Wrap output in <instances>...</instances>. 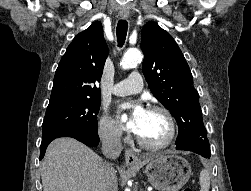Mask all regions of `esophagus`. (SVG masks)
Wrapping results in <instances>:
<instances>
[{"instance_id":"34e87169","label":"esophagus","mask_w":251,"mask_h":191,"mask_svg":"<svg viewBox=\"0 0 251 191\" xmlns=\"http://www.w3.org/2000/svg\"><path fill=\"white\" fill-rule=\"evenodd\" d=\"M119 15L121 18H126L129 15V12L120 11ZM125 161L128 166L137 167L140 163V159L136 156V154L130 148L125 149Z\"/></svg>"}]
</instances>
